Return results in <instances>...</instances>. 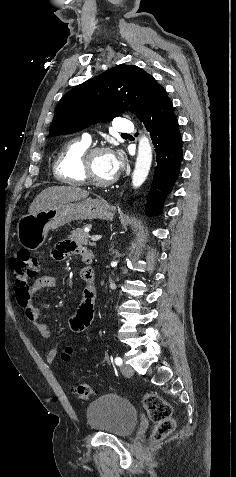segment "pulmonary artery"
Instances as JSON below:
<instances>
[{
	"instance_id": "1",
	"label": "pulmonary artery",
	"mask_w": 236,
	"mask_h": 477,
	"mask_svg": "<svg viewBox=\"0 0 236 477\" xmlns=\"http://www.w3.org/2000/svg\"><path fill=\"white\" fill-rule=\"evenodd\" d=\"M114 130L116 132H119L121 134H129L134 132V126L133 124L123 118H117L114 121ZM82 141L88 145L91 144V137L89 134L84 133L82 137Z\"/></svg>"
}]
</instances>
